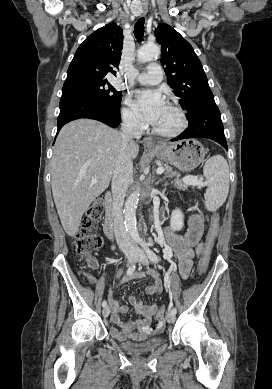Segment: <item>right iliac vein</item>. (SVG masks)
Segmentation results:
<instances>
[{"instance_id": "obj_1", "label": "right iliac vein", "mask_w": 272, "mask_h": 389, "mask_svg": "<svg viewBox=\"0 0 272 389\" xmlns=\"http://www.w3.org/2000/svg\"><path fill=\"white\" fill-rule=\"evenodd\" d=\"M134 258H135L134 253H132V252L127 253V254H126L127 264H128V265L131 264L132 261L134 260ZM109 313H110L109 307H108V306L104 307V308H103V311H102L103 316L106 318V317H108Z\"/></svg>"}]
</instances>
